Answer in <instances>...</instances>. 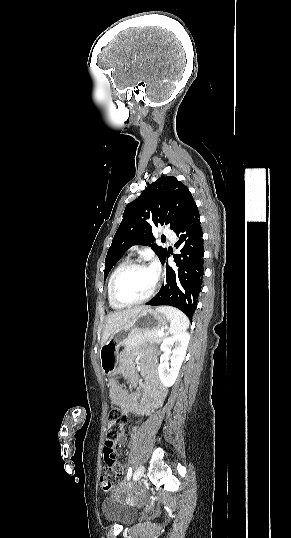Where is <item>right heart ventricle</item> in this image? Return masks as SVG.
Segmentation results:
<instances>
[{
    "label": "right heart ventricle",
    "instance_id": "obj_1",
    "mask_svg": "<svg viewBox=\"0 0 291 538\" xmlns=\"http://www.w3.org/2000/svg\"><path fill=\"white\" fill-rule=\"evenodd\" d=\"M130 263V258L129 257H125L123 258L122 260H120V262H118L116 264V266L114 267V269L112 270L110 276H109V280H108V283H107V296H108V300H109V303L110 305L113 307V308H121L122 306L116 304L113 299H112V296H111V285H112V281L114 279V277L116 276V274L122 269L124 268L125 266H127L128 264Z\"/></svg>",
    "mask_w": 291,
    "mask_h": 538
}]
</instances>
